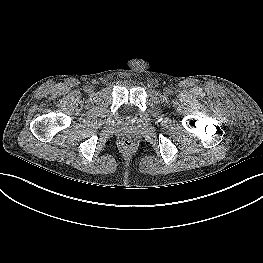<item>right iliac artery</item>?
I'll return each instance as SVG.
<instances>
[{"instance_id": "obj_1", "label": "right iliac artery", "mask_w": 263, "mask_h": 263, "mask_svg": "<svg viewBox=\"0 0 263 263\" xmlns=\"http://www.w3.org/2000/svg\"><path fill=\"white\" fill-rule=\"evenodd\" d=\"M88 88H89V86H86V87H85L86 91H88V90H89Z\"/></svg>"}]
</instances>
